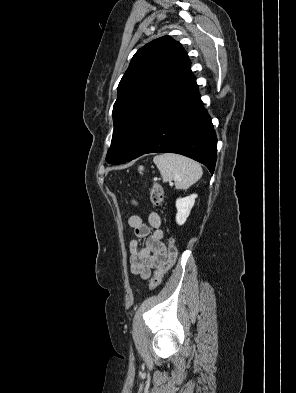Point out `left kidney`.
<instances>
[{
  "mask_svg": "<svg viewBox=\"0 0 296 393\" xmlns=\"http://www.w3.org/2000/svg\"><path fill=\"white\" fill-rule=\"evenodd\" d=\"M197 195L192 194L190 196L184 197V198H178L176 200V208H177V214H176V222L178 225H183L192 209L195 203Z\"/></svg>",
  "mask_w": 296,
  "mask_h": 393,
  "instance_id": "5707ae66",
  "label": "left kidney"
}]
</instances>
